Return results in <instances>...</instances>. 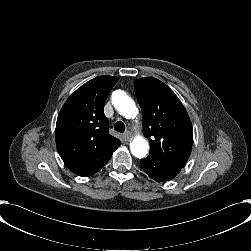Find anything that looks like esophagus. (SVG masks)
<instances>
[{"label":"esophagus","mask_w":251,"mask_h":251,"mask_svg":"<svg viewBox=\"0 0 251 251\" xmlns=\"http://www.w3.org/2000/svg\"><path fill=\"white\" fill-rule=\"evenodd\" d=\"M124 138L127 140V141H130L132 139V136H131V133L129 131H127L126 133H124Z\"/></svg>","instance_id":"esophagus-1"}]
</instances>
